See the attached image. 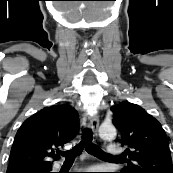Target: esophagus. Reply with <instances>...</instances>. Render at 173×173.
Here are the masks:
<instances>
[{"instance_id":"obj_1","label":"esophagus","mask_w":173,"mask_h":173,"mask_svg":"<svg viewBox=\"0 0 173 173\" xmlns=\"http://www.w3.org/2000/svg\"><path fill=\"white\" fill-rule=\"evenodd\" d=\"M83 125L84 127H89L92 129L95 136H97L98 127H99V117L97 114L89 115L87 113L83 116Z\"/></svg>"}]
</instances>
